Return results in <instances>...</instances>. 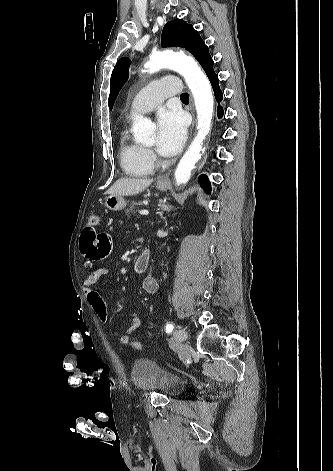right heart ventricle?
I'll return each mask as SVG.
<instances>
[{
	"label": "right heart ventricle",
	"mask_w": 333,
	"mask_h": 471,
	"mask_svg": "<svg viewBox=\"0 0 333 471\" xmlns=\"http://www.w3.org/2000/svg\"><path fill=\"white\" fill-rule=\"evenodd\" d=\"M119 158L122 169L130 176L142 177L153 172L154 164L147 149L131 139L127 130L120 135Z\"/></svg>",
	"instance_id": "right-heart-ventricle-1"
}]
</instances>
